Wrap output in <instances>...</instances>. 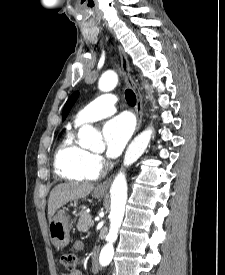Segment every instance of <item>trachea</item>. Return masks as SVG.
Returning a JSON list of instances; mask_svg holds the SVG:
<instances>
[{
	"label": "trachea",
	"instance_id": "trachea-1",
	"mask_svg": "<svg viewBox=\"0 0 225 275\" xmlns=\"http://www.w3.org/2000/svg\"><path fill=\"white\" fill-rule=\"evenodd\" d=\"M125 98L129 105L134 106L136 104V96L131 89L125 91Z\"/></svg>",
	"mask_w": 225,
	"mask_h": 275
}]
</instances>
